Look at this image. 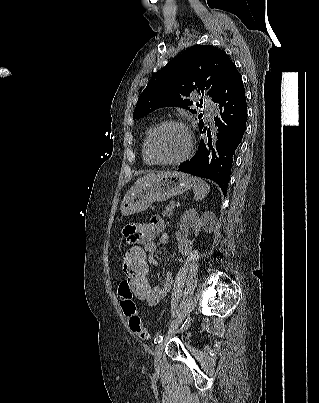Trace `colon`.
<instances>
[{
  "mask_svg": "<svg viewBox=\"0 0 319 403\" xmlns=\"http://www.w3.org/2000/svg\"><path fill=\"white\" fill-rule=\"evenodd\" d=\"M121 275L118 279L120 290L118 304L123 317H126L130 336L147 339L148 334L141 320L131 289L135 290V300H149L153 293V282L149 270L148 258H144L142 242H128L121 249ZM131 288V289H130Z\"/></svg>",
  "mask_w": 319,
  "mask_h": 403,
  "instance_id": "colon-1",
  "label": "colon"
}]
</instances>
